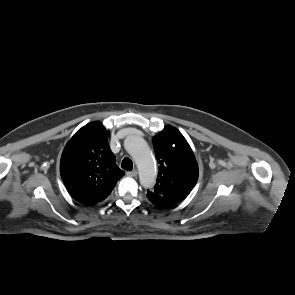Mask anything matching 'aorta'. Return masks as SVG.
Here are the masks:
<instances>
[{
    "instance_id": "aorta-1",
    "label": "aorta",
    "mask_w": 295,
    "mask_h": 295,
    "mask_svg": "<svg viewBox=\"0 0 295 295\" xmlns=\"http://www.w3.org/2000/svg\"><path fill=\"white\" fill-rule=\"evenodd\" d=\"M124 147L138 167L141 185L144 188L153 187L156 180L155 164L146 141L140 136L130 135L125 139Z\"/></svg>"
}]
</instances>
